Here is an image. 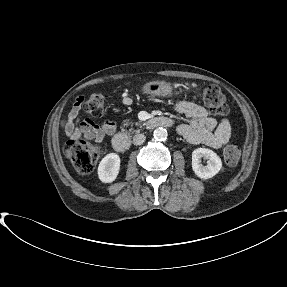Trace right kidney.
Returning <instances> with one entry per match:
<instances>
[{
  "mask_svg": "<svg viewBox=\"0 0 287 287\" xmlns=\"http://www.w3.org/2000/svg\"><path fill=\"white\" fill-rule=\"evenodd\" d=\"M120 170V157L116 153L107 154L98 166L99 179L104 183L113 182Z\"/></svg>",
  "mask_w": 287,
  "mask_h": 287,
  "instance_id": "1",
  "label": "right kidney"
}]
</instances>
